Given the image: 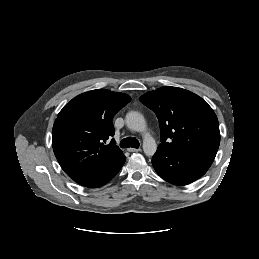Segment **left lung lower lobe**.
<instances>
[{
    "mask_svg": "<svg viewBox=\"0 0 259 259\" xmlns=\"http://www.w3.org/2000/svg\"><path fill=\"white\" fill-rule=\"evenodd\" d=\"M213 160L208 156L178 155L159 146L152 157V164L157 174L167 182L187 185L203 176Z\"/></svg>",
    "mask_w": 259,
    "mask_h": 259,
    "instance_id": "0a47b994",
    "label": "left lung lower lobe"
}]
</instances>
